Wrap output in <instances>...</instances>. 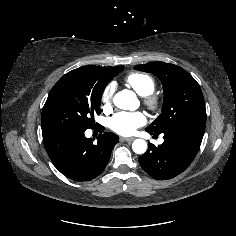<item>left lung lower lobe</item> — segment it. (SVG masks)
Masks as SVG:
<instances>
[{"mask_svg": "<svg viewBox=\"0 0 236 236\" xmlns=\"http://www.w3.org/2000/svg\"><path fill=\"white\" fill-rule=\"evenodd\" d=\"M205 125L204 121L187 122L164 131L163 144L156 147L149 143L146 153L139 157L141 167L157 180L176 177L196 156Z\"/></svg>", "mask_w": 236, "mask_h": 236, "instance_id": "left-lung-lower-lobe-1", "label": "left lung lower lobe"}]
</instances>
